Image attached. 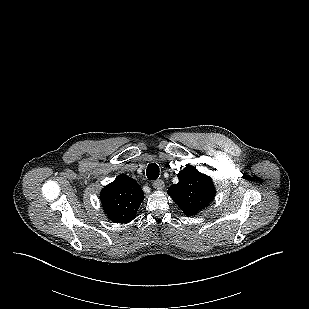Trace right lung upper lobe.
<instances>
[{"mask_svg":"<svg viewBox=\"0 0 309 309\" xmlns=\"http://www.w3.org/2000/svg\"><path fill=\"white\" fill-rule=\"evenodd\" d=\"M101 203L108 218L116 223H129L135 218L144 194L131 177L121 174L100 193Z\"/></svg>","mask_w":309,"mask_h":309,"instance_id":"obj_1","label":"right lung upper lobe"}]
</instances>
